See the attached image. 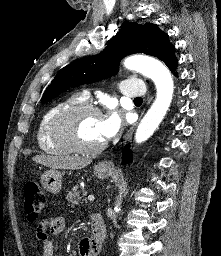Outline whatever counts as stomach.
I'll list each match as a JSON object with an SVG mask.
<instances>
[{
  "mask_svg": "<svg viewBox=\"0 0 221 256\" xmlns=\"http://www.w3.org/2000/svg\"><path fill=\"white\" fill-rule=\"evenodd\" d=\"M113 171L112 168H103L99 165L94 168V174L100 179L105 178ZM40 183L46 191L57 194L62 188V173L54 169L48 170L41 175Z\"/></svg>",
  "mask_w": 221,
  "mask_h": 256,
  "instance_id": "1",
  "label": "stomach"
}]
</instances>
